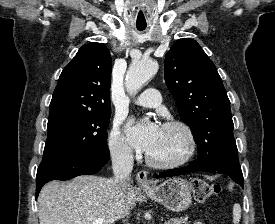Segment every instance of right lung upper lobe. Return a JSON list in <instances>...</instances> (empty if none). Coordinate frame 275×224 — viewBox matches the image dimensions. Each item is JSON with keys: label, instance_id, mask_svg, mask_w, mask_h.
Here are the masks:
<instances>
[{"label": "right lung upper lobe", "instance_id": "1", "mask_svg": "<svg viewBox=\"0 0 275 224\" xmlns=\"http://www.w3.org/2000/svg\"><path fill=\"white\" fill-rule=\"evenodd\" d=\"M111 55L103 43L82 46L62 71L49 115L60 112H109Z\"/></svg>", "mask_w": 275, "mask_h": 224}]
</instances>
